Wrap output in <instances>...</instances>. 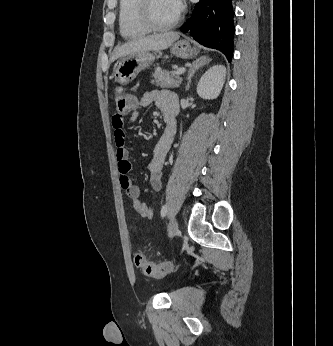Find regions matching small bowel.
I'll return each instance as SVG.
<instances>
[{"label":"small bowel","mask_w":333,"mask_h":346,"mask_svg":"<svg viewBox=\"0 0 333 346\" xmlns=\"http://www.w3.org/2000/svg\"><path fill=\"white\" fill-rule=\"evenodd\" d=\"M155 104L162 115L164 116L167 125L170 128V133L167 135L165 132L158 140L152 158L148 164L150 172V185L151 188L158 192L162 188V168L171 147L173 137L175 134V115L178 110V103L176 95L169 90H150L145 92L142 97L136 100L135 108L133 109L129 123H135L139 117L138 107H147ZM112 125L115 130V142L117 146L116 159L118 162V169L120 173V185L126 192L127 196L132 200L133 209L143 218L152 219L155 215L154 208L147 206L139 200L140 188L132 182L128 174L131 170V163L129 161V151L124 147L126 139V132L124 130V119L120 116H113Z\"/></svg>","instance_id":"c3829d8e"}]
</instances>
